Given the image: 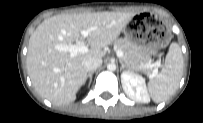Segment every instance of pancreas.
<instances>
[{
    "label": "pancreas",
    "mask_w": 203,
    "mask_h": 123,
    "mask_svg": "<svg viewBox=\"0 0 203 123\" xmlns=\"http://www.w3.org/2000/svg\"><path fill=\"white\" fill-rule=\"evenodd\" d=\"M115 46L117 50L123 52L122 60L129 68L141 70L145 73L150 71L147 68L140 69V66L151 64L152 61L136 44L127 39H118L115 41Z\"/></svg>",
    "instance_id": "obj_1"
}]
</instances>
